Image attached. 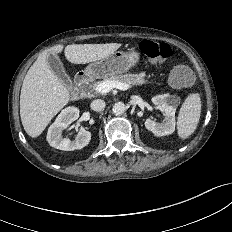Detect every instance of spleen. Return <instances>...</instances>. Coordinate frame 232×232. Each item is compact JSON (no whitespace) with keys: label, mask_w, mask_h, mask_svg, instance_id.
Listing matches in <instances>:
<instances>
[{"label":"spleen","mask_w":232,"mask_h":232,"mask_svg":"<svg viewBox=\"0 0 232 232\" xmlns=\"http://www.w3.org/2000/svg\"><path fill=\"white\" fill-rule=\"evenodd\" d=\"M201 114V99L198 94L189 95L184 101L178 116V135L189 137L196 129Z\"/></svg>","instance_id":"1"}]
</instances>
